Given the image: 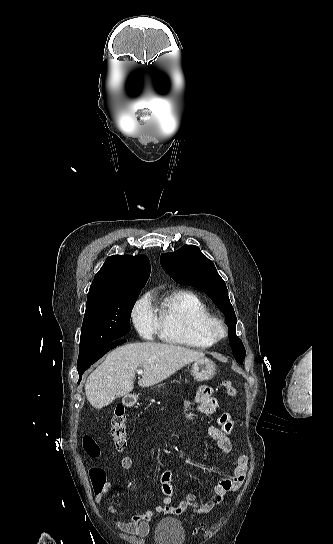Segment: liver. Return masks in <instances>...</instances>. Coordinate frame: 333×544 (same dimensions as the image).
Listing matches in <instances>:
<instances>
[{
    "label": "liver",
    "instance_id": "obj_1",
    "mask_svg": "<svg viewBox=\"0 0 333 544\" xmlns=\"http://www.w3.org/2000/svg\"><path fill=\"white\" fill-rule=\"evenodd\" d=\"M205 354L178 345L142 342L111 351L103 363L87 378L85 393L96 409L111 404L116 397L128 395L134 388L135 371L143 367L141 387L155 385Z\"/></svg>",
    "mask_w": 333,
    "mask_h": 544
}]
</instances>
